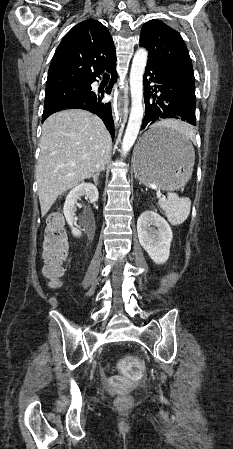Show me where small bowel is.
Returning a JSON list of instances; mask_svg holds the SVG:
<instances>
[{
  "mask_svg": "<svg viewBox=\"0 0 233 449\" xmlns=\"http://www.w3.org/2000/svg\"><path fill=\"white\" fill-rule=\"evenodd\" d=\"M143 370L142 363H125L122 375L124 377H138Z\"/></svg>",
  "mask_w": 233,
  "mask_h": 449,
  "instance_id": "1",
  "label": "small bowel"
}]
</instances>
